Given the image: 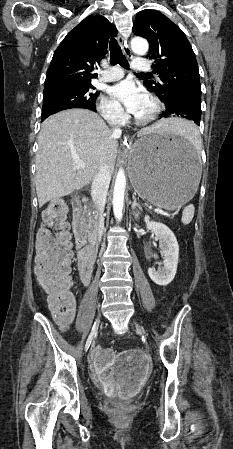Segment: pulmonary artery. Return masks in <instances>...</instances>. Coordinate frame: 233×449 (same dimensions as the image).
Segmentation results:
<instances>
[{
	"label": "pulmonary artery",
	"instance_id": "pulmonary-artery-1",
	"mask_svg": "<svg viewBox=\"0 0 233 449\" xmlns=\"http://www.w3.org/2000/svg\"><path fill=\"white\" fill-rule=\"evenodd\" d=\"M132 68L137 71H148L150 69L149 64L147 61L136 58L132 63ZM124 76V71L117 66L110 67L107 69L102 75H101V81L104 82H113L117 81Z\"/></svg>",
	"mask_w": 233,
	"mask_h": 449
}]
</instances>
